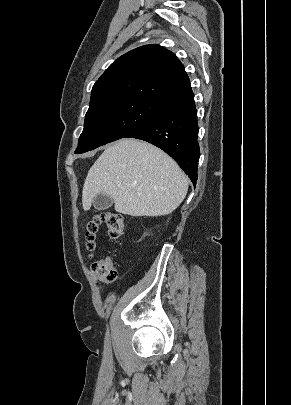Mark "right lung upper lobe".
I'll return each mask as SVG.
<instances>
[{
    "label": "right lung upper lobe",
    "instance_id": "obj_1",
    "mask_svg": "<svg viewBox=\"0 0 291 405\" xmlns=\"http://www.w3.org/2000/svg\"><path fill=\"white\" fill-rule=\"evenodd\" d=\"M191 89L183 64L159 45H145L115 60L92 88L90 107L145 98L167 103Z\"/></svg>",
    "mask_w": 291,
    "mask_h": 405
}]
</instances>
